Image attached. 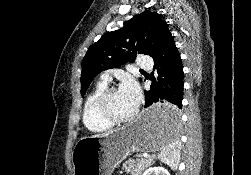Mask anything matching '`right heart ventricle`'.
<instances>
[{
    "label": "right heart ventricle",
    "instance_id": "e07e8e85",
    "mask_svg": "<svg viewBox=\"0 0 251 175\" xmlns=\"http://www.w3.org/2000/svg\"><path fill=\"white\" fill-rule=\"evenodd\" d=\"M108 87L106 82L98 81L87 95L83 110L82 118L86 129L92 133H101L112 128V124L104 120L98 113L97 101L101 93Z\"/></svg>",
    "mask_w": 251,
    "mask_h": 175
}]
</instances>
